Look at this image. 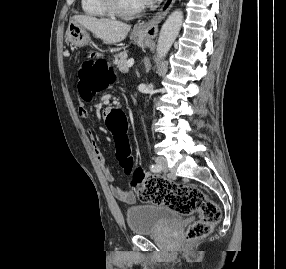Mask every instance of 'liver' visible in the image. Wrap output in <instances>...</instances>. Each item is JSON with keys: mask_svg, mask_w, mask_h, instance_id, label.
Wrapping results in <instances>:
<instances>
[{"mask_svg": "<svg viewBox=\"0 0 286 269\" xmlns=\"http://www.w3.org/2000/svg\"><path fill=\"white\" fill-rule=\"evenodd\" d=\"M72 20L109 43L124 40L131 29V26L126 23L105 18L98 19L89 15H75Z\"/></svg>", "mask_w": 286, "mask_h": 269, "instance_id": "obj_1", "label": "liver"}]
</instances>
